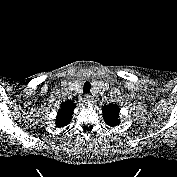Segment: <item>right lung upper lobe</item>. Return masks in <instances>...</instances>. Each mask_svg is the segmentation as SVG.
Here are the masks:
<instances>
[{"label":"right lung upper lobe","instance_id":"1","mask_svg":"<svg viewBox=\"0 0 177 177\" xmlns=\"http://www.w3.org/2000/svg\"><path fill=\"white\" fill-rule=\"evenodd\" d=\"M75 104L72 101L63 102L61 109L58 111L56 116L57 127H64L68 125L73 117V111Z\"/></svg>","mask_w":177,"mask_h":177}]
</instances>
